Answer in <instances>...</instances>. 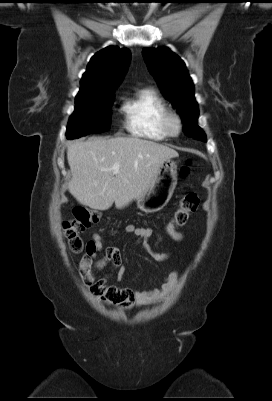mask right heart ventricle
<instances>
[{
	"instance_id": "obj_1",
	"label": "right heart ventricle",
	"mask_w": 272,
	"mask_h": 401,
	"mask_svg": "<svg viewBox=\"0 0 272 401\" xmlns=\"http://www.w3.org/2000/svg\"><path fill=\"white\" fill-rule=\"evenodd\" d=\"M169 111L165 100L152 88H143L127 98L122 106L126 129L137 137L165 140L164 116Z\"/></svg>"
}]
</instances>
